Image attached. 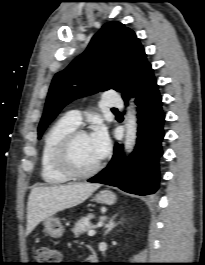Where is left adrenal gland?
I'll return each mask as SVG.
<instances>
[{
  "instance_id": "1",
  "label": "left adrenal gland",
  "mask_w": 205,
  "mask_h": 265,
  "mask_svg": "<svg viewBox=\"0 0 205 265\" xmlns=\"http://www.w3.org/2000/svg\"><path fill=\"white\" fill-rule=\"evenodd\" d=\"M117 216V214H115L114 216H112V218L109 220V222L105 225V232H104V236L106 234H108L115 226H117L118 223L114 222L115 217Z\"/></svg>"
}]
</instances>
